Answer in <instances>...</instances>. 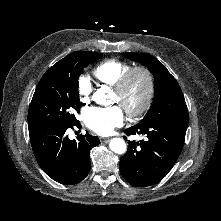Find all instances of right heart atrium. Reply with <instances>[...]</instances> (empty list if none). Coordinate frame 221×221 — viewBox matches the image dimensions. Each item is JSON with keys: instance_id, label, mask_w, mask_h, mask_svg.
Here are the masks:
<instances>
[{"instance_id": "d8ad5b80", "label": "right heart atrium", "mask_w": 221, "mask_h": 221, "mask_svg": "<svg viewBox=\"0 0 221 221\" xmlns=\"http://www.w3.org/2000/svg\"><path fill=\"white\" fill-rule=\"evenodd\" d=\"M92 83L87 76H81L78 79V94L83 103H88L92 95Z\"/></svg>"}]
</instances>
